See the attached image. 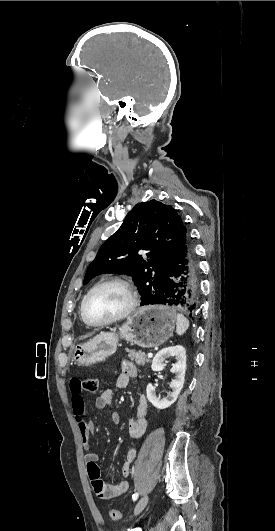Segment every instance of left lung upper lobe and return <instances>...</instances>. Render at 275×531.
I'll return each instance as SVG.
<instances>
[{"label":"left lung upper lobe","instance_id":"1","mask_svg":"<svg viewBox=\"0 0 275 531\" xmlns=\"http://www.w3.org/2000/svg\"><path fill=\"white\" fill-rule=\"evenodd\" d=\"M187 229L176 210L156 200L142 202L100 247L87 268L84 284L103 273L133 277L141 305L155 303L166 285L171 261ZM145 251L144 259L138 253Z\"/></svg>","mask_w":275,"mask_h":531}]
</instances>
